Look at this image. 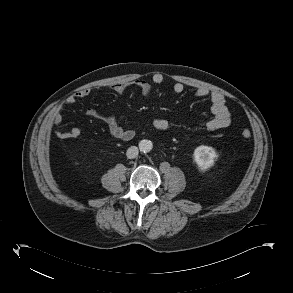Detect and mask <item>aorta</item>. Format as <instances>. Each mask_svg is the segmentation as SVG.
Here are the masks:
<instances>
[{
    "instance_id": "1",
    "label": "aorta",
    "mask_w": 293,
    "mask_h": 293,
    "mask_svg": "<svg viewBox=\"0 0 293 293\" xmlns=\"http://www.w3.org/2000/svg\"><path fill=\"white\" fill-rule=\"evenodd\" d=\"M153 144L150 140L144 139L139 142V149L143 153H148L152 150Z\"/></svg>"
}]
</instances>
